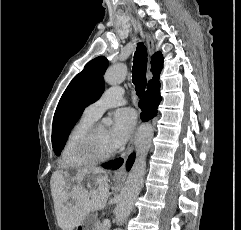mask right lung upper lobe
Returning a JSON list of instances; mask_svg holds the SVG:
<instances>
[{
  "mask_svg": "<svg viewBox=\"0 0 241 230\" xmlns=\"http://www.w3.org/2000/svg\"><path fill=\"white\" fill-rule=\"evenodd\" d=\"M152 69L153 72V79L148 82V84H151L155 81L159 80V74L163 68V59L161 52H157L152 56L151 59Z\"/></svg>",
  "mask_w": 241,
  "mask_h": 230,
  "instance_id": "obj_1",
  "label": "right lung upper lobe"
}]
</instances>
